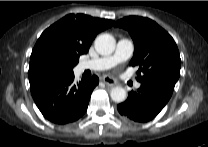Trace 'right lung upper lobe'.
I'll return each instance as SVG.
<instances>
[{"label":"right lung upper lobe","instance_id":"cb5924a9","mask_svg":"<svg viewBox=\"0 0 208 147\" xmlns=\"http://www.w3.org/2000/svg\"><path fill=\"white\" fill-rule=\"evenodd\" d=\"M114 21L84 14H69L47 28L37 40L30 58V86L68 76L79 56L88 52L95 36Z\"/></svg>","mask_w":208,"mask_h":147}]
</instances>
